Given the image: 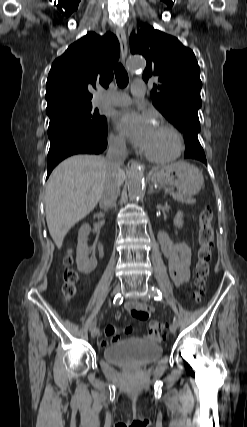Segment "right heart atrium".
Returning a JSON list of instances; mask_svg holds the SVG:
<instances>
[{
    "label": "right heart atrium",
    "mask_w": 247,
    "mask_h": 427,
    "mask_svg": "<svg viewBox=\"0 0 247 427\" xmlns=\"http://www.w3.org/2000/svg\"><path fill=\"white\" fill-rule=\"evenodd\" d=\"M109 146L118 152H123L126 150V143L122 137L115 133H111L108 137Z\"/></svg>",
    "instance_id": "obj_1"
}]
</instances>
